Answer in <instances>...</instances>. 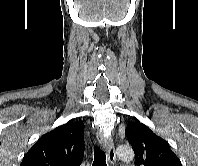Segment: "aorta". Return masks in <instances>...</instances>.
Returning a JSON list of instances; mask_svg holds the SVG:
<instances>
[{
	"mask_svg": "<svg viewBox=\"0 0 198 166\" xmlns=\"http://www.w3.org/2000/svg\"><path fill=\"white\" fill-rule=\"evenodd\" d=\"M117 157L125 162L132 161L134 158L133 149L130 146H119L116 150Z\"/></svg>",
	"mask_w": 198,
	"mask_h": 166,
	"instance_id": "1",
	"label": "aorta"
}]
</instances>
